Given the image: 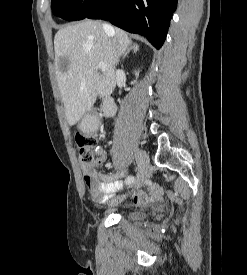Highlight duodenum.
<instances>
[{
  "label": "duodenum",
  "instance_id": "1",
  "mask_svg": "<svg viewBox=\"0 0 247 275\" xmlns=\"http://www.w3.org/2000/svg\"><path fill=\"white\" fill-rule=\"evenodd\" d=\"M115 111H116V104L114 99L111 97H105L97 117L108 118L112 116L115 113Z\"/></svg>",
  "mask_w": 247,
  "mask_h": 275
}]
</instances>
